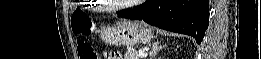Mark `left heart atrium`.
Returning a JSON list of instances; mask_svg holds the SVG:
<instances>
[{"label": "left heart atrium", "instance_id": "1", "mask_svg": "<svg viewBox=\"0 0 261 59\" xmlns=\"http://www.w3.org/2000/svg\"><path fill=\"white\" fill-rule=\"evenodd\" d=\"M127 2H130V3H140V2H142V0H130V1H127Z\"/></svg>", "mask_w": 261, "mask_h": 59}]
</instances>
